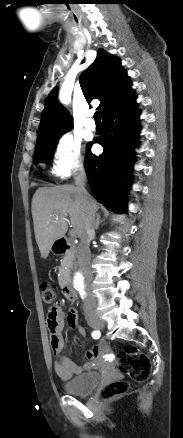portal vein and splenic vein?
<instances>
[{"label": "portal vein and splenic vein", "mask_w": 183, "mask_h": 438, "mask_svg": "<svg viewBox=\"0 0 183 438\" xmlns=\"http://www.w3.org/2000/svg\"><path fill=\"white\" fill-rule=\"evenodd\" d=\"M55 218L58 219V216L56 215ZM63 219H66V218L63 217ZM71 234H72V235H75V232L72 230V231H71Z\"/></svg>", "instance_id": "obj_1"}]
</instances>
